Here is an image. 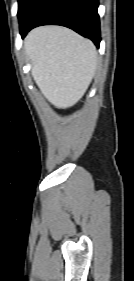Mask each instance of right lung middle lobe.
<instances>
[{
  "label": "right lung middle lobe",
  "instance_id": "obj_1",
  "mask_svg": "<svg viewBox=\"0 0 134 281\" xmlns=\"http://www.w3.org/2000/svg\"><path fill=\"white\" fill-rule=\"evenodd\" d=\"M35 0H19L18 4V18H19V23L21 24L23 20L25 19L29 9L33 5V2Z\"/></svg>",
  "mask_w": 134,
  "mask_h": 281
}]
</instances>
